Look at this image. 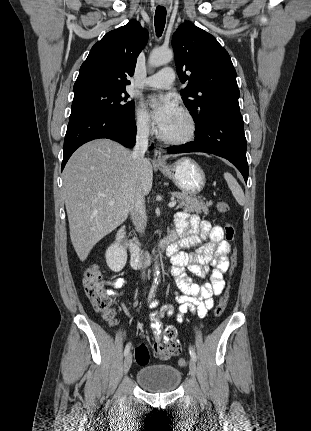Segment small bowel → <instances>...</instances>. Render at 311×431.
Wrapping results in <instances>:
<instances>
[{"label":"small bowel","instance_id":"obj_1","mask_svg":"<svg viewBox=\"0 0 311 431\" xmlns=\"http://www.w3.org/2000/svg\"><path fill=\"white\" fill-rule=\"evenodd\" d=\"M175 234L180 239L175 242L172 253V274L174 281L182 294H177L180 303L177 320L183 321V315L187 312H197L200 316L213 307V298L220 295L225 287L224 274L228 269V254L231 247L223 239V229L219 225H212L207 220H202L197 214L178 212L174 219ZM194 276L209 279L201 284L195 282L187 273ZM125 281L117 279L113 286L121 288ZM107 295H115L113 290H107ZM159 304L157 300H149V308ZM174 309L171 306H163L160 312L151 314V327L157 338L176 341L178 334L174 326L163 327L161 317L172 315Z\"/></svg>","mask_w":311,"mask_h":431}]
</instances>
